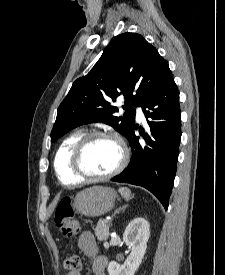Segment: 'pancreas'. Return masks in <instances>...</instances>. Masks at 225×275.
<instances>
[{"mask_svg":"<svg viewBox=\"0 0 225 275\" xmlns=\"http://www.w3.org/2000/svg\"><path fill=\"white\" fill-rule=\"evenodd\" d=\"M95 235L99 241H106L109 236V222L107 220H99L95 228Z\"/></svg>","mask_w":225,"mask_h":275,"instance_id":"obj_1","label":"pancreas"}]
</instances>
